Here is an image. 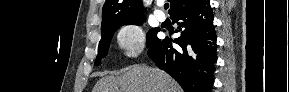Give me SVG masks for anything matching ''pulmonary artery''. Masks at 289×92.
I'll return each instance as SVG.
<instances>
[{"label": "pulmonary artery", "mask_w": 289, "mask_h": 92, "mask_svg": "<svg viewBox=\"0 0 289 92\" xmlns=\"http://www.w3.org/2000/svg\"><path fill=\"white\" fill-rule=\"evenodd\" d=\"M154 15H155L156 19L160 22H163L166 19L165 14L161 10H156Z\"/></svg>", "instance_id": "pulmonary-artery-1"}]
</instances>
